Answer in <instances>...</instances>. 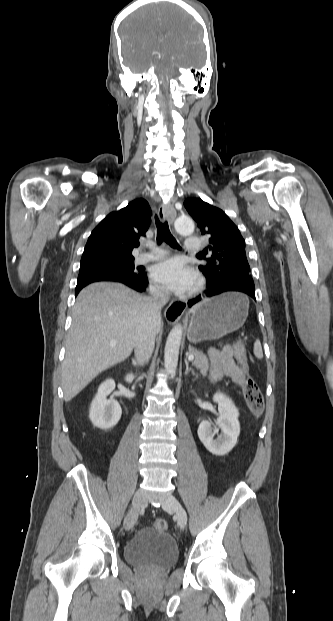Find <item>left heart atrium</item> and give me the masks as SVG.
Returning <instances> with one entry per match:
<instances>
[{"label":"left heart atrium","mask_w":333,"mask_h":621,"mask_svg":"<svg viewBox=\"0 0 333 621\" xmlns=\"http://www.w3.org/2000/svg\"><path fill=\"white\" fill-rule=\"evenodd\" d=\"M151 278L166 290L185 293L196 285V274L185 263L176 258L156 264L151 271Z\"/></svg>","instance_id":"left-heart-atrium-1"}]
</instances>
